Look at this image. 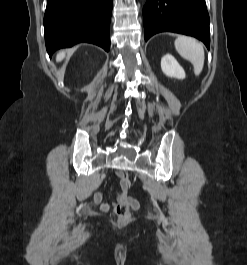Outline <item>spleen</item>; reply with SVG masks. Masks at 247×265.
<instances>
[{
	"label": "spleen",
	"mask_w": 247,
	"mask_h": 265,
	"mask_svg": "<svg viewBox=\"0 0 247 265\" xmlns=\"http://www.w3.org/2000/svg\"><path fill=\"white\" fill-rule=\"evenodd\" d=\"M177 52L194 67L195 75H199L204 66L203 45L195 39L187 36H179L174 42Z\"/></svg>",
	"instance_id": "1"
}]
</instances>
